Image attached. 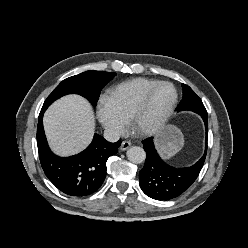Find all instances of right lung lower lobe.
Listing matches in <instances>:
<instances>
[{"instance_id":"obj_1","label":"right lung lower lobe","mask_w":248,"mask_h":248,"mask_svg":"<svg viewBox=\"0 0 248 248\" xmlns=\"http://www.w3.org/2000/svg\"><path fill=\"white\" fill-rule=\"evenodd\" d=\"M41 109L37 126V145L40 163L48 179L63 193L71 196H86L95 192L106 177V162L118 152L121 142L110 143L95 134L92 143L83 152L62 158L50 150Z\"/></svg>"}]
</instances>
